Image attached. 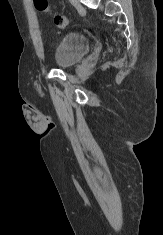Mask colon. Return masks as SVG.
<instances>
[{
  "label": "colon",
  "instance_id": "obj_1",
  "mask_svg": "<svg viewBox=\"0 0 163 235\" xmlns=\"http://www.w3.org/2000/svg\"><path fill=\"white\" fill-rule=\"evenodd\" d=\"M35 8L40 12H49L50 7L48 0H33ZM54 23L58 28H65L69 24V19L64 15H56Z\"/></svg>",
  "mask_w": 163,
  "mask_h": 235
}]
</instances>
